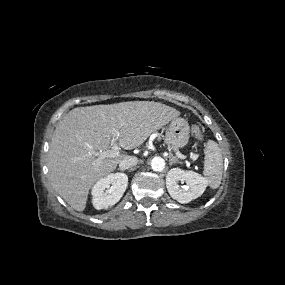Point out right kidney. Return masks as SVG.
<instances>
[{
    "label": "right kidney",
    "mask_w": 285,
    "mask_h": 285,
    "mask_svg": "<svg viewBox=\"0 0 285 285\" xmlns=\"http://www.w3.org/2000/svg\"><path fill=\"white\" fill-rule=\"evenodd\" d=\"M128 184L124 173H112L101 178L92 188L93 206L100 210L115 205L123 196Z\"/></svg>",
    "instance_id": "ca27d5eb"
}]
</instances>
